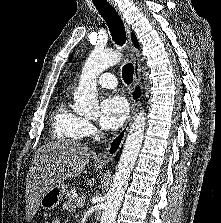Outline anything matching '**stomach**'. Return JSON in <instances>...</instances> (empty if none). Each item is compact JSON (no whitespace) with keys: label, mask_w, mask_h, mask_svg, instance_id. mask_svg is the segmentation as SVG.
Segmentation results:
<instances>
[{"label":"stomach","mask_w":221,"mask_h":223,"mask_svg":"<svg viewBox=\"0 0 221 223\" xmlns=\"http://www.w3.org/2000/svg\"><path fill=\"white\" fill-rule=\"evenodd\" d=\"M99 167H102L99 165ZM67 192L64 184H56L52 186L40 199V205L47 210L56 208L62 201Z\"/></svg>","instance_id":"stomach-1"}]
</instances>
